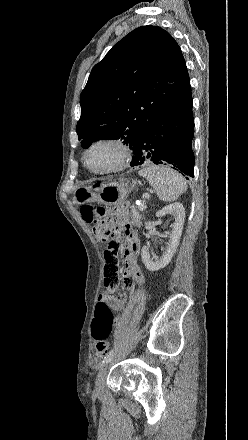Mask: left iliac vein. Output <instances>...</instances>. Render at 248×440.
Returning <instances> with one entry per match:
<instances>
[{
  "instance_id": "obj_1",
  "label": "left iliac vein",
  "mask_w": 248,
  "mask_h": 440,
  "mask_svg": "<svg viewBox=\"0 0 248 440\" xmlns=\"http://www.w3.org/2000/svg\"><path fill=\"white\" fill-rule=\"evenodd\" d=\"M111 360H109L108 362H105L99 369V372L97 374L96 377V382H95V392L97 394H101L103 392L104 389V384H105V378L108 372V367H109V363Z\"/></svg>"
}]
</instances>
